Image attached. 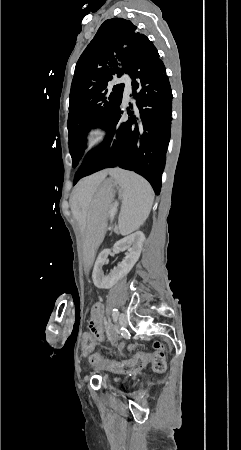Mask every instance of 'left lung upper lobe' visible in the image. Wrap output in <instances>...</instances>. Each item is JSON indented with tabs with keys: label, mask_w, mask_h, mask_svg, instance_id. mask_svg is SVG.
I'll return each instance as SVG.
<instances>
[{
	"label": "left lung upper lobe",
	"mask_w": 241,
	"mask_h": 450,
	"mask_svg": "<svg viewBox=\"0 0 241 450\" xmlns=\"http://www.w3.org/2000/svg\"><path fill=\"white\" fill-rule=\"evenodd\" d=\"M152 46L131 21L112 18L100 26L81 54L71 84L68 115L73 167L83 157L89 129L102 127L122 102L124 84L110 81L127 73L132 59Z\"/></svg>",
	"instance_id": "obj_1"
}]
</instances>
